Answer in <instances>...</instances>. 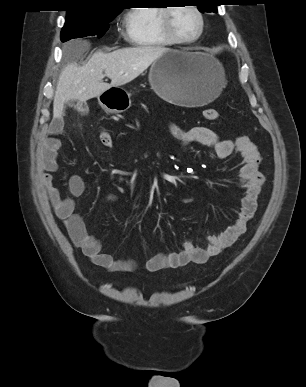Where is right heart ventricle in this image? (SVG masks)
I'll return each instance as SVG.
<instances>
[{"label": "right heart ventricle", "instance_id": "right-heart-ventricle-1", "mask_svg": "<svg viewBox=\"0 0 306 387\" xmlns=\"http://www.w3.org/2000/svg\"><path fill=\"white\" fill-rule=\"evenodd\" d=\"M163 9L161 6H146L130 10L123 22L126 41L143 48H161L174 44L162 32Z\"/></svg>", "mask_w": 306, "mask_h": 387}]
</instances>
